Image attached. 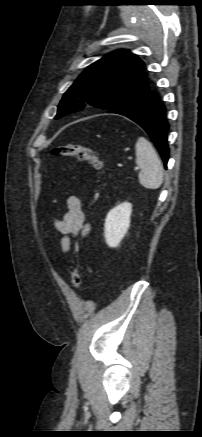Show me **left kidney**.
<instances>
[{
	"mask_svg": "<svg viewBox=\"0 0 202 437\" xmlns=\"http://www.w3.org/2000/svg\"><path fill=\"white\" fill-rule=\"evenodd\" d=\"M132 205L124 202L114 207L107 214L104 224V236L109 247H117L130 227Z\"/></svg>",
	"mask_w": 202,
	"mask_h": 437,
	"instance_id": "1",
	"label": "left kidney"
}]
</instances>
